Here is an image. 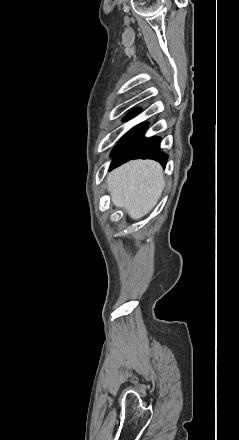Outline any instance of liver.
<instances>
[{
    "mask_svg": "<svg viewBox=\"0 0 239 440\" xmlns=\"http://www.w3.org/2000/svg\"><path fill=\"white\" fill-rule=\"evenodd\" d=\"M165 182L163 170L154 160H132L107 176V188L116 208L132 220H140L156 206Z\"/></svg>",
    "mask_w": 239,
    "mask_h": 440,
    "instance_id": "liver-1",
    "label": "liver"
}]
</instances>
